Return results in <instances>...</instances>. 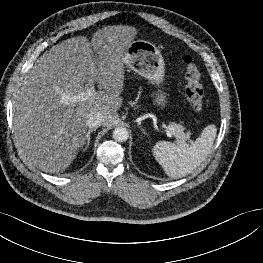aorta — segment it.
<instances>
[{"label": "aorta", "mask_w": 263, "mask_h": 263, "mask_svg": "<svg viewBox=\"0 0 263 263\" xmlns=\"http://www.w3.org/2000/svg\"><path fill=\"white\" fill-rule=\"evenodd\" d=\"M129 137V132L124 127H117L113 131V138L117 142H125Z\"/></svg>", "instance_id": "obj_1"}]
</instances>
